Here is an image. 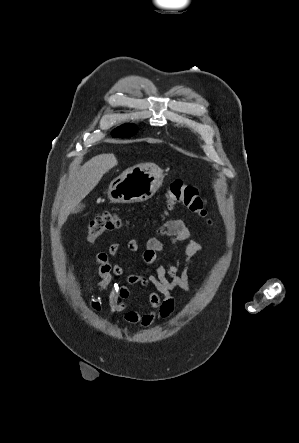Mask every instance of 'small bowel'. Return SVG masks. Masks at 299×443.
Wrapping results in <instances>:
<instances>
[{"mask_svg": "<svg viewBox=\"0 0 299 443\" xmlns=\"http://www.w3.org/2000/svg\"><path fill=\"white\" fill-rule=\"evenodd\" d=\"M157 236L150 237L146 241L143 251V261L150 266L143 275H128L123 285L114 282L115 277L125 275L126 268L119 264H112L109 257H122L123 251L118 243L110 245L108 252H100L96 255V263L99 265L100 280L97 282L101 289H109V303L113 311L124 313V319L130 324H138L148 327L155 318H169L175 307V299L172 291L180 288L185 291L193 289L188 277V268L192 258L198 254L202 246L196 240H190L191 232L180 219L167 221L156 231ZM158 236L169 238L170 244L177 245L187 242L183 257L176 259L173 265H167L162 257L163 243ZM128 250L136 253L140 247L138 239L128 242ZM139 284L143 287H151L154 291L148 294V308L146 313L128 310L126 300L130 296L129 287ZM98 308V303L93 304Z\"/></svg>", "mask_w": 299, "mask_h": 443, "instance_id": "1", "label": "small bowel"}]
</instances>
